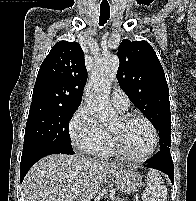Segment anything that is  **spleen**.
I'll use <instances>...</instances> for the list:
<instances>
[{
  "mask_svg": "<svg viewBox=\"0 0 196 201\" xmlns=\"http://www.w3.org/2000/svg\"><path fill=\"white\" fill-rule=\"evenodd\" d=\"M143 201H167V188L156 170L148 172L147 188L142 194Z\"/></svg>",
  "mask_w": 196,
  "mask_h": 201,
  "instance_id": "1",
  "label": "spleen"
}]
</instances>
